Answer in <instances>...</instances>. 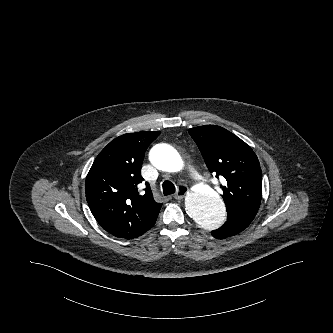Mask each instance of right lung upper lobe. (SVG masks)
I'll return each instance as SVG.
<instances>
[{"label": "right lung upper lobe", "mask_w": 333, "mask_h": 333, "mask_svg": "<svg viewBox=\"0 0 333 333\" xmlns=\"http://www.w3.org/2000/svg\"><path fill=\"white\" fill-rule=\"evenodd\" d=\"M160 132L128 133L112 140L96 157L86 177V199L97 222L114 236L132 239L142 235L158 215L148 183L144 194L137 186L148 146Z\"/></svg>", "instance_id": "cb5924a9"}]
</instances>
